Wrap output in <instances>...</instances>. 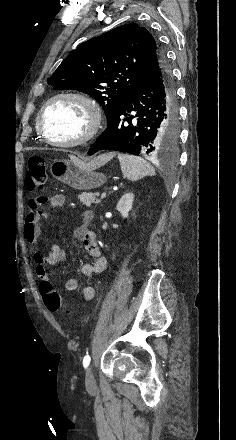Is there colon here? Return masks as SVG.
<instances>
[{
  "label": "colon",
  "mask_w": 236,
  "mask_h": 440,
  "mask_svg": "<svg viewBox=\"0 0 236 440\" xmlns=\"http://www.w3.org/2000/svg\"><path fill=\"white\" fill-rule=\"evenodd\" d=\"M48 178L46 162L42 157H32L28 163L26 185L29 190H40ZM41 295L45 307L51 312L65 311V305L56 289L48 282L40 285Z\"/></svg>",
  "instance_id": "1"
}]
</instances>
